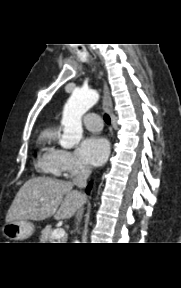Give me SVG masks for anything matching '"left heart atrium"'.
Returning <instances> with one entry per match:
<instances>
[{
	"label": "left heart atrium",
	"mask_w": 181,
	"mask_h": 288,
	"mask_svg": "<svg viewBox=\"0 0 181 288\" xmlns=\"http://www.w3.org/2000/svg\"><path fill=\"white\" fill-rule=\"evenodd\" d=\"M78 154L87 164L100 165L109 154V144L103 137L90 135L81 141Z\"/></svg>",
	"instance_id": "39dd6f15"
}]
</instances>
